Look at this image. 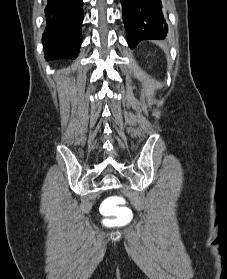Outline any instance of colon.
I'll return each mask as SVG.
<instances>
[{"label":"colon","mask_w":227,"mask_h":279,"mask_svg":"<svg viewBox=\"0 0 227 279\" xmlns=\"http://www.w3.org/2000/svg\"><path fill=\"white\" fill-rule=\"evenodd\" d=\"M114 198L117 202L120 203L124 201L123 196H115ZM129 217H130V210L124 206H119L117 213L106 216L107 220L109 221H117V220L126 221L129 219Z\"/></svg>","instance_id":"5ec220e1"}]
</instances>
